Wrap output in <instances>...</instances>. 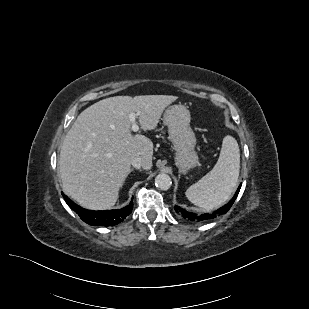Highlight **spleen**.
Segmentation results:
<instances>
[{
    "mask_svg": "<svg viewBox=\"0 0 309 309\" xmlns=\"http://www.w3.org/2000/svg\"><path fill=\"white\" fill-rule=\"evenodd\" d=\"M240 152L235 138L225 136L219 159L213 169L185 192L194 205L210 210L225 203L235 190L239 177Z\"/></svg>",
    "mask_w": 309,
    "mask_h": 309,
    "instance_id": "obj_1",
    "label": "spleen"
}]
</instances>
